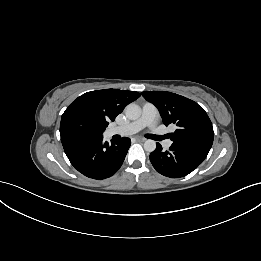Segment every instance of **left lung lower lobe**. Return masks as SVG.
I'll return each instance as SVG.
<instances>
[{"mask_svg": "<svg viewBox=\"0 0 261 261\" xmlns=\"http://www.w3.org/2000/svg\"><path fill=\"white\" fill-rule=\"evenodd\" d=\"M210 149L190 144H172L163 151L159 143L150 154L153 167L160 174L180 178L195 170L206 158Z\"/></svg>", "mask_w": 261, "mask_h": 261, "instance_id": "0a47b994", "label": "left lung lower lobe"}]
</instances>
